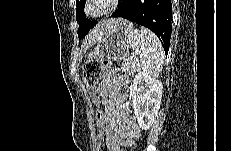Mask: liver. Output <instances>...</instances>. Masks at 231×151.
Listing matches in <instances>:
<instances>
[{"mask_svg":"<svg viewBox=\"0 0 231 151\" xmlns=\"http://www.w3.org/2000/svg\"><path fill=\"white\" fill-rule=\"evenodd\" d=\"M127 22L123 19H109L105 20L103 23L96 26L87 36L85 42L83 44L84 51H86L89 47L94 45L98 40L102 37L105 31L112 28L114 25L122 24Z\"/></svg>","mask_w":231,"mask_h":151,"instance_id":"6515ba94","label":"liver"}]
</instances>
